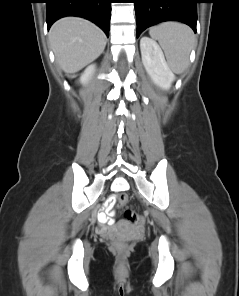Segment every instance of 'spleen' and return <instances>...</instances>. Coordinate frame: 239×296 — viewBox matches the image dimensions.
I'll return each mask as SVG.
<instances>
[{
	"label": "spleen",
	"mask_w": 239,
	"mask_h": 296,
	"mask_svg": "<svg viewBox=\"0 0 239 296\" xmlns=\"http://www.w3.org/2000/svg\"><path fill=\"white\" fill-rule=\"evenodd\" d=\"M149 34L158 40L167 62L175 73H183L189 64V55L194 45V34L190 27L181 23L166 22L151 27Z\"/></svg>",
	"instance_id": "obj_1"
}]
</instances>
